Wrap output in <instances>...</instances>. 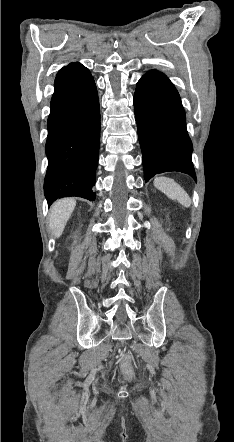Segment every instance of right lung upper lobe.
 Returning a JSON list of instances; mask_svg holds the SVG:
<instances>
[{"mask_svg": "<svg viewBox=\"0 0 234 442\" xmlns=\"http://www.w3.org/2000/svg\"><path fill=\"white\" fill-rule=\"evenodd\" d=\"M75 64H78V63H71V64H69L68 66H72V65H75Z\"/></svg>", "mask_w": 234, "mask_h": 442, "instance_id": "cb5924a9", "label": "right lung upper lobe"}]
</instances>
